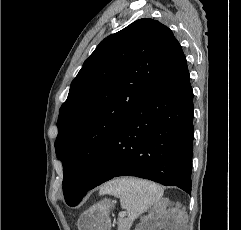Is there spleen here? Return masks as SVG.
I'll return each mask as SVG.
<instances>
[{
    "mask_svg": "<svg viewBox=\"0 0 241 230\" xmlns=\"http://www.w3.org/2000/svg\"><path fill=\"white\" fill-rule=\"evenodd\" d=\"M100 195H113L120 199L130 221L136 219L163 196V189L156 183L136 179L120 178L104 184Z\"/></svg>",
    "mask_w": 241,
    "mask_h": 230,
    "instance_id": "3e777b00",
    "label": "spleen"
}]
</instances>
